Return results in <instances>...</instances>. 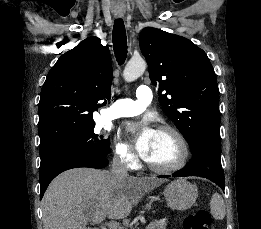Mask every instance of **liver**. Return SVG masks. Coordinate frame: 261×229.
I'll return each instance as SVG.
<instances>
[{"label": "liver", "mask_w": 261, "mask_h": 229, "mask_svg": "<svg viewBox=\"0 0 261 229\" xmlns=\"http://www.w3.org/2000/svg\"><path fill=\"white\" fill-rule=\"evenodd\" d=\"M164 179L115 177L109 171L70 169L50 183L42 199L43 229H86L89 221L125 219L145 193Z\"/></svg>", "instance_id": "6515ba94"}]
</instances>
